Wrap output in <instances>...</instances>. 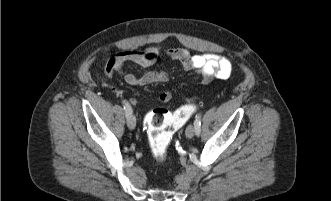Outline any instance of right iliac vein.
Segmentation results:
<instances>
[{
    "instance_id": "1",
    "label": "right iliac vein",
    "mask_w": 331,
    "mask_h": 201,
    "mask_svg": "<svg viewBox=\"0 0 331 201\" xmlns=\"http://www.w3.org/2000/svg\"><path fill=\"white\" fill-rule=\"evenodd\" d=\"M127 125L130 129H135V127H136V118H135V116L130 115L127 118Z\"/></svg>"
}]
</instances>
